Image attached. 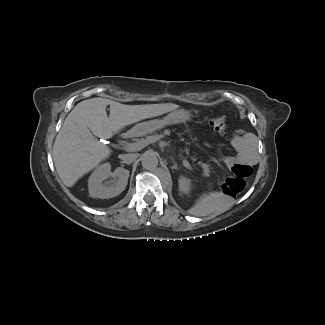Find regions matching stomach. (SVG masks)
<instances>
[{"instance_id":"1","label":"stomach","mask_w":325,"mask_h":325,"mask_svg":"<svg viewBox=\"0 0 325 325\" xmlns=\"http://www.w3.org/2000/svg\"><path fill=\"white\" fill-rule=\"evenodd\" d=\"M188 113L181 110H176L168 114L163 120H152L149 122L141 123L133 127L128 135L130 136H143L151 133L152 130H158L166 125L178 124L185 122L188 119Z\"/></svg>"}]
</instances>
